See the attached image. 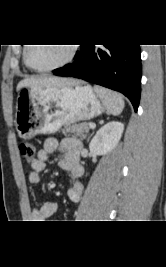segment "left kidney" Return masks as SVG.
Masks as SVG:
<instances>
[{"label": "left kidney", "mask_w": 166, "mask_h": 267, "mask_svg": "<svg viewBox=\"0 0 166 267\" xmlns=\"http://www.w3.org/2000/svg\"><path fill=\"white\" fill-rule=\"evenodd\" d=\"M124 124L112 121L101 127L89 144V149L97 155L111 152L122 137Z\"/></svg>", "instance_id": "5707ae66"}]
</instances>
